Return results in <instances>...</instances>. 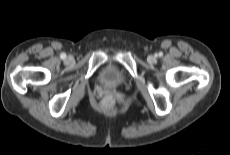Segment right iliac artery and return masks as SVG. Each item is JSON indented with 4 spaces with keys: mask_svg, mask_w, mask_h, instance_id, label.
I'll use <instances>...</instances> for the list:
<instances>
[{
    "mask_svg": "<svg viewBox=\"0 0 230 155\" xmlns=\"http://www.w3.org/2000/svg\"><path fill=\"white\" fill-rule=\"evenodd\" d=\"M60 57H61V59H65V58H66V54H65V53H62V54L60 55Z\"/></svg>",
    "mask_w": 230,
    "mask_h": 155,
    "instance_id": "right-iliac-artery-1",
    "label": "right iliac artery"
}]
</instances>
